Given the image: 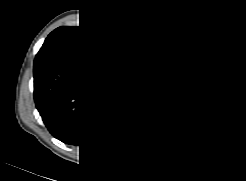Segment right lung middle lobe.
Returning a JSON list of instances; mask_svg holds the SVG:
<instances>
[{
    "label": "right lung middle lobe",
    "mask_w": 246,
    "mask_h": 181,
    "mask_svg": "<svg viewBox=\"0 0 246 181\" xmlns=\"http://www.w3.org/2000/svg\"><path fill=\"white\" fill-rule=\"evenodd\" d=\"M111 43L107 33L101 29L79 27H59L49 34L40 51L37 53L34 67L46 60L61 56L74 55L100 67L104 49Z\"/></svg>",
    "instance_id": "right-lung-middle-lobe-1"
}]
</instances>
